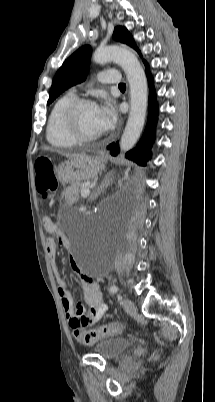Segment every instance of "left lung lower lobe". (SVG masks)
<instances>
[{"label":"left lung lower lobe","instance_id":"left-lung-lower-lobe-1","mask_svg":"<svg viewBox=\"0 0 215 402\" xmlns=\"http://www.w3.org/2000/svg\"><path fill=\"white\" fill-rule=\"evenodd\" d=\"M146 67L147 78L149 82L150 88V95H149V102H148V121L145 132L143 134L142 139L137 144V146L132 149L131 151L126 153V157L133 160L134 162L138 163L139 165H146V162L151 158V151L150 148L154 142L155 138V126L157 122L158 116V105L156 101V93L153 86V78L149 72L147 62H144ZM110 149V153L116 156L120 149L119 144L116 142L115 144L112 143L108 147Z\"/></svg>","mask_w":215,"mask_h":402}]
</instances>
